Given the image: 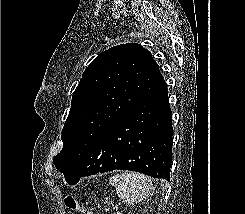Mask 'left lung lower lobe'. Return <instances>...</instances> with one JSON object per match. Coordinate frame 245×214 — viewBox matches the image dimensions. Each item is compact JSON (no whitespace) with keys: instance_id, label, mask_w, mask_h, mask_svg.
<instances>
[{"instance_id":"0a47b994","label":"left lung lower lobe","mask_w":245,"mask_h":214,"mask_svg":"<svg viewBox=\"0 0 245 214\" xmlns=\"http://www.w3.org/2000/svg\"><path fill=\"white\" fill-rule=\"evenodd\" d=\"M173 128L167 83L115 121L65 176L75 185L81 177L130 170L170 181Z\"/></svg>"}]
</instances>
